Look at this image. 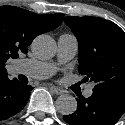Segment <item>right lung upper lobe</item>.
Wrapping results in <instances>:
<instances>
[{
  "instance_id": "1",
  "label": "right lung upper lobe",
  "mask_w": 125,
  "mask_h": 125,
  "mask_svg": "<svg viewBox=\"0 0 125 125\" xmlns=\"http://www.w3.org/2000/svg\"><path fill=\"white\" fill-rule=\"evenodd\" d=\"M63 14L43 15L13 6L0 7V77L7 75L5 63L16 59L33 39L61 25Z\"/></svg>"
}]
</instances>
